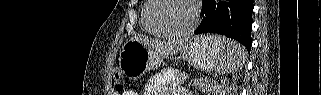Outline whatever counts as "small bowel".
I'll return each mask as SVG.
<instances>
[{
  "label": "small bowel",
  "instance_id": "c3829d8e",
  "mask_svg": "<svg viewBox=\"0 0 321 95\" xmlns=\"http://www.w3.org/2000/svg\"><path fill=\"white\" fill-rule=\"evenodd\" d=\"M154 86V83H150L148 86H147V89H146V94L147 95H162V93H159V92H153L152 90V87ZM124 95H136L134 92H125Z\"/></svg>",
  "mask_w": 321,
  "mask_h": 95
}]
</instances>
